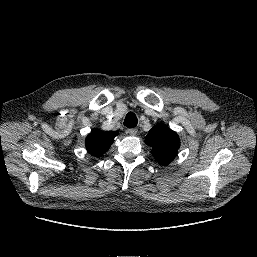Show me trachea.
Listing matches in <instances>:
<instances>
[{
	"mask_svg": "<svg viewBox=\"0 0 257 257\" xmlns=\"http://www.w3.org/2000/svg\"><path fill=\"white\" fill-rule=\"evenodd\" d=\"M138 123L137 117L134 113H128L124 119V125L128 128L136 127Z\"/></svg>",
	"mask_w": 257,
	"mask_h": 257,
	"instance_id": "trachea-1",
	"label": "trachea"
}]
</instances>
